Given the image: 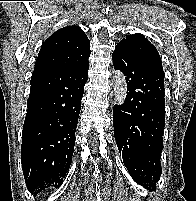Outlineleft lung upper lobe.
<instances>
[{
	"label": "left lung upper lobe",
	"mask_w": 196,
	"mask_h": 201,
	"mask_svg": "<svg viewBox=\"0 0 196 201\" xmlns=\"http://www.w3.org/2000/svg\"><path fill=\"white\" fill-rule=\"evenodd\" d=\"M119 44L126 47L134 56L162 69V61L155 46L142 34H132Z\"/></svg>",
	"instance_id": "5c2ea615"
}]
</instances>
